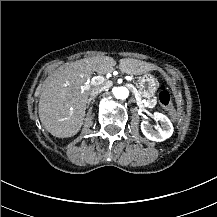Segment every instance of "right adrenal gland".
Masks as SVG:
<instances>
[{
    "label": "right adrenal gland",
    "mask_w": 217,
    "mask_h": 217,
    "mask_svg": "<svg viewBox=\"0 0 217 217\" xmlns=\"http://www.w3.org/2000/svg\"><path fill=\"white\" fill-rule=\"evenodd\" d=\"M91 101H95V97H90L88 99V101H87V108L89 107Z\"/></svg>",
    "instance_id": "1"
}]
</instances>
